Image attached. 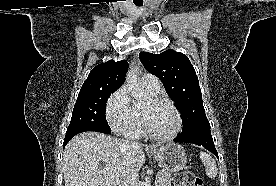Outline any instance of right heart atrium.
I'll return each instance as SVG.
<instances>
[{"label":"right heart atrium","mask_w":276,"mask_h":186,"mask_svg":"<svg viewBox=\"0 0 276 186\" xmlns=\"http://www.w3.org/2000/svg\"><path fill=\"white\" fill-rule=\"evenodd\" d=\"M106 118L110 127L118 133L131 135L136 131L140 118L131 103L126 86H121L109 97Z\"/></svg>","instance_id":"right-heart-atrium-1"}]
</instances>
